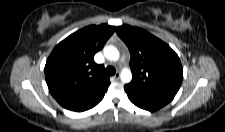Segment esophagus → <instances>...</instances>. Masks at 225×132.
<instances>
[{"mask_svg": "<svg viewBox=\"0 0 225 132\" xmlns=\"http://www.w3.org/2000/svg\"><path fill=\"white\" fill-rule=\"evenodd\" d=\"M119 78H120V74H119V73H117V74H115V75L113 76V79H114V80H119Z\"/></svg>", "mask_w": 225, "mask_h": 132, "instance_id": "1", "label": "esophagus"}]
</instances>
